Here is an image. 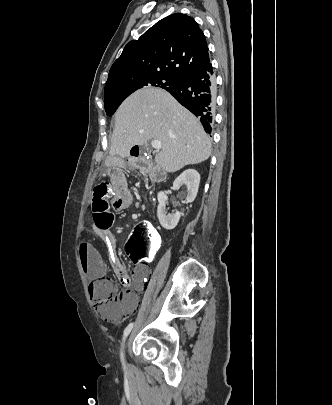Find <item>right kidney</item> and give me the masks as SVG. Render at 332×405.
<instances>
[{"label": "right kidney", "instance_id": "ca27d5eb", "mask_svg": "<svg viewBox=\"0 0 332 405\" xmlns=\"http://www.w3.org/2000/svg\"><path fill=\"white\" fill-rule=\"evenodd\" d=\"M200 183V174L194 169H188L182 172L173 182V188L178 190L183 184L187 186L186 201L191 203L195 200ZM158 208L157 217L161 226L166 230L174 229L181 217L180 212L175 211L167 213L166 201L167 196L163 191H160L157 195Z\"/></svg>", "mask_w": 332, "mask_h": 405}]
</instances>
